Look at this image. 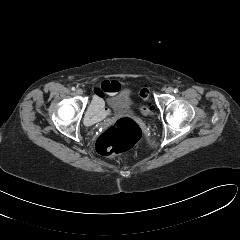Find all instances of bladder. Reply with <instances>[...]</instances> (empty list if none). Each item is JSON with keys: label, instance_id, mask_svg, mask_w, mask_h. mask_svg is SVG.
Returning <instances> with one entry per match:
<instances>
[{"label": "bladder", "instance_id": "bladder-1", "mask_svg": "<svg viewBox=\"0 0 240 240\" xmlns=\"http://www.w3.org/2000/svg\"><path fill=\"white\" fill-rule=\"evenodd\" d=\"M107 102L114 113L130 112L134 107L133 96L129 90H123L110 96Z\"/></svg>", "mask_w": 240, "mask_h": 240}]
</instances>
